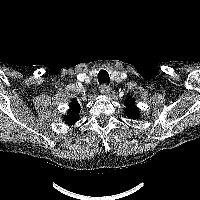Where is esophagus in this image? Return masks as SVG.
Segmentation results:
<instances>
[{
  "label": "esophagus",
  "mask_w": 200,
  "mask_h": 200,
  "mask_svg": "<svg viewBox=\"0 0 200 200\" xmlns=\"http://www.w3.org/2000/svg\"><path fill=\"white\" fill-rule=\"evenodd\" d=\"M110 90L111 89H110L109 85H107L105 83L100 86V92L103 95H108L110 93Z\"/></svg>",
  "instance_id": "esophagus-1"
}]
</instances>
